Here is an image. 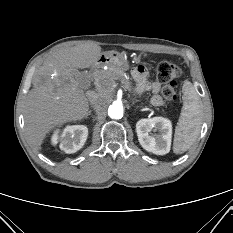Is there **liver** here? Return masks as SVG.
<instances>
[{
  "label": "liver",
  "instance_id": "6515ba94",
  "mask_svg": "<svg viewBox=\"0 0 233 233\" xmlns=\"http://www.w3.org/2000/svg\"><path fill=\"white\" fill-rule=\"evenodd\" d=\"M100 56L101 47L86 42L55 51L36 70L34 88L27 95L24 110L25 131L31 144L39 148L55 127L86 117L89 102L77 73L94 65Z\"/></svg>",
  "mask_w": 233,
  "mask_h": 233
}]
</instances>
